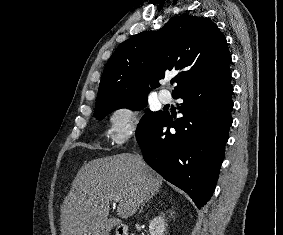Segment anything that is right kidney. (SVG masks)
Returning <instances> with one entry per match:
<instances>
[{"instance_id": "right-kidney-1", "label": "right kidney", "mask_w": 283, "mask_h": 235, "mask_svg": "<svg viewBox=\"0 0 283 235\" xmlns=\"http://www.w3.org/2000/svg\"><path fill=\"white\" fill-rule=\"evenodd\" d=\"M165 219L162 216L155 217L149 224L150 235H164Z\"/></svg>"}]
</instances>
